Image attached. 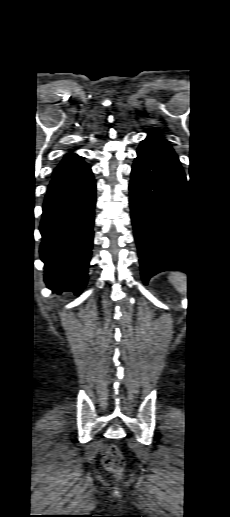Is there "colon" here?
Returning <instances> with one entry per match:
<instances>
[{
  "label": "colon",
  "mask_w": 230,
  "mask_h": 517,
  "mask_svg": "<svg viewBox=\"0 0 230 517\" xmlns=\"http://www.w3.org/2000/svg\"><path fill=\"white\" fill-rule=\"evenodd\" d=\"M102 464L110 472L119 474L125 467V460L119 448L114 444H108L102 451Z\"/></svg>",
  "instance_id": "5ec220e1"
}]
</instances>
